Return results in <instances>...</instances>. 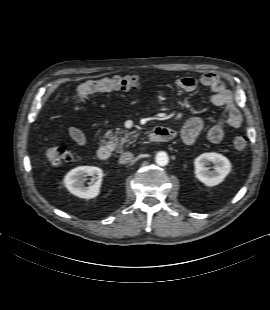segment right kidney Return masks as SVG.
Segmentation results:
<instances>
[{
	"label": "right kidney",
	"mask_w": 270,
	"mask_h": 310,
	"mask_svg": "<svg viewBox=\"0 0 270 310\" xmlns=\"http://www.w3.org/2000/svg\"><path fill=\"white\" fill-rule=\"evenodd\" d=\"M93 176L96 180L90 186H84V178ZM103 172L94 166H79L69 171L64 177V185L70 193L84 199H92L99 195Z\"/></svg>",
	"instance_id": "ca27d5eb"
}]
</instances>
